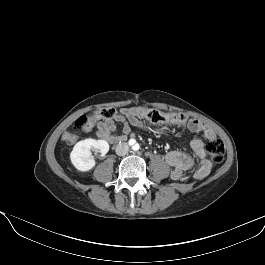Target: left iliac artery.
Listing matches in <instances>:
<instances>
[{"instance_id": "obj_1", "label": "left iliac artery", "mask_w": 265, "mask_h": 265, "mask_svg": "<svg viewBox=\"0 0 265 265\" xmlns=\"http://www.w3.org/2000/svg\"><path fill=\"white\" fill-rule=\"evenodd\" d=\"M140 147H139V145L138 144H136L135 146H134V149L135 150H138Z\"/></svg>"}]
</instances>
